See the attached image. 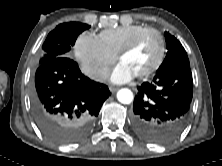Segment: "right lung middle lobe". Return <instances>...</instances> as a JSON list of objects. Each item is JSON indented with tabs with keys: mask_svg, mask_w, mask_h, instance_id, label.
<instances>
[{
	"mask_svg": "<svg viewBox=\"0 0 222 166\" xmlns=\"http://www.w3.org/2000/svg\"><path fill=\"white\" fill-rule=\"evenodd\" d=\"M88 28H90L89 25L78 22L58 25L48 34L42 46L44 54L39 63L42 64L57 57L68 56V52L74 45L78 35Z\"/></svg>",
	"mask_w": 222,
	"mask_h": 166,
	"instance_id": "1",
	"label": "right lung middle lobe"
}]
</instances>
